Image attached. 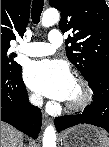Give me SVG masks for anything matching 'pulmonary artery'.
Instances as JSON below:
<instances>
[{
  "mask_svg": "<svg viewBox=\"0 0 109 147\" xmlns=\"http://www.w3.org/2000/svg\"><path fill=\"white\" fill-rule=\"evenodd\" d=\"M63 42V35L59 31L48 34L46 42H31L17 47V51L30 57L51 55Z\"/></svg>",
  "mask_w": 109,
  "mask_h": 147,
  "instance_id": "1",
  "label": "pulmonary artery"
}]
</instances>
